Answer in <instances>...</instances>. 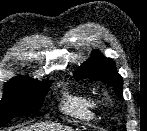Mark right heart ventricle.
Instances as JSON below:
<instances>
[{"label":"right heart ventricle","mask_w":147,"mask_h":131,"mask_svg":"<svg viewBox=\"0 0 147 131\" xmlns=\"http://www.w3.org/2000/svg\"><path fill=\"white\" fill-rule=\"evenodd\" d=\"M98 107L96 97L83 90L65 91L61 102V110L76 119L90 121L95 117Z\"/></svg>","instance_id":"obj_1"}]
</instances>
